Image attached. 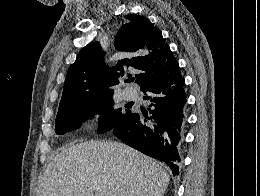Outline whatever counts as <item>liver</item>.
Returning <instances> with one entry per match:
<instances>
[{
	"instance_id": "1",
	"label": "liver",
	"mask_w": 260,
	"mask_h": 196,
	"mask_svg": "<svg viewBox=\"0 0 260 196\" xmlns=\"http://www.w3.org/2000/svg\"><path fill=\"white\" fill-rule=\"evenodd\" d=\"M169 182L160 162L125 144L83 142L52 158L37 196H163Z\"/></svg>"
}]
</instances>
